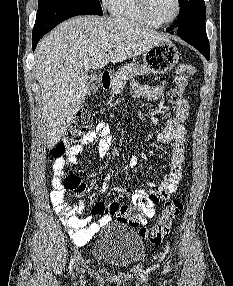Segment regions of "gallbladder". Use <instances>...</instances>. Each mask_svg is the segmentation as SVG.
Masks as SVG:
<instances>
[{
    "mask_svg": "<svg viewBox=\"0 0 233 286\" xmlns=\"http://www.w3.org/2000/svg\"><path fill=\"white\" fill-rule=\"evenodd\" d=\"M101 75L97 72H91L88 76L87 89L89 94H94L100 87Z\"/></svg>",
    "mask_w": 233,
    "mask_h": 286,
    "instance_id": "gallbladder-1",
    "label": "gallbladder"
}]
</instances>
